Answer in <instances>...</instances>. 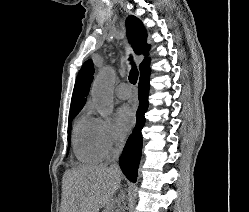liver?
Instances as JSON below:
<instances>
[{
  "mask_svg": "<svg viewBox=\"0 0 249 212\" xmlns=\"http://www.w3.org/2000/svg\"><path fill=\"white\" fill-rule=\"evenodd\" d=\"M121 178V170L109 164L67 170L64 176L66 212H99L100 208H108L121 186Z\"/></svg>",
  "mask_w": 249,
  "mask_h": 212,
  "instance_id": "1",
  "label": "liver"
}]
</instances>
